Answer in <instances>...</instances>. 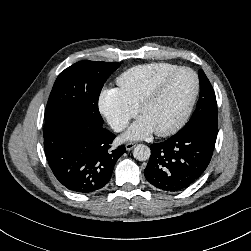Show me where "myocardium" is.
I'll use <instances>...</instances> for the list:
<instances>
[{"label": "myocardium", "instance_id": "1", "mask_svg": "<svg viewBox=\"0 0 251 251\" xmlns=\"http://www.w3.org/2000/svg\"><path fill=\"white\" fill-rule=\"evenodd\" d=\"M182 72H188L193 75L195 80V88L194 92L191 96V99L183 112L182 116L179 118V120L170 128L161 130V131H154V133L159 137H167L170 135L175 134L178 132L188 121L193 108L195 106V103L197 101L199 91H200V80L198 77V74L188 68V67H179L178 69L174 70L173 72L169 73L165 77H163L161 80H159L150 90L149 92L143 97L141 102L139 103L137 107V112L141 115L144 108L149 106L151 103H153L162 93V91L165 89V87L168 85V83L178 74Z\"/></svg>", "mask_w": 251, "mask_h": 251}]
</instances>
